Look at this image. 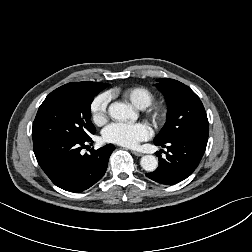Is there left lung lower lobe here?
<instances>
[{"instance_id":"0a47b994","label":"left lung lower lobe","mask_w":252,"mask_h":252,"mask_svg":"<svg viewBox=\"0 0 252 252\" xmlns=\"http://www.w3.org/2000/svg\"><path fill=\"white\" fill-rule=\"evenodd\" d=\"M208 137L189 134L177 137L166 143L154 142L167 148L166 158L159 156V166L146 176L155 182L173 185L189 177L200 163L207 145Z\"/></svg>"}]
</instances>
